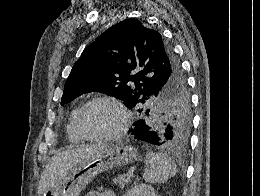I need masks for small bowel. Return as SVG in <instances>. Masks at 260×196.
I'll list each match as a JSON object with an SVG mask.
<instances>
[{
    "label": "small bowel",
    "instance_id": "obj_1",
    "mask_svg": "<svg viewBox=\"0 0 260 196\" xmlns=\"http://www.w3.org/2000/svg\"><path fill=\"white\" fill-rule=\"evenodd\" d=\"M87 196H114V194L110 191H99V190H92L87 193Z\"/></svg>",
    "mask_w": 260,
    "mask_h": 196
}]
</instances>
